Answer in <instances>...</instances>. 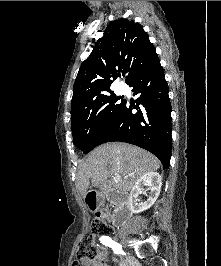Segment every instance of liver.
<instances>
[{
  "label": "liver",
  "mask_w": 221,
  "mask_h": 266,
  "mask_svg": "<svg viewBox=\"0 0 221 266\" xmlns=\"http://www.w3.org/2000/svg\"><path fill=\"white\" fill-rule=\"evenodd\" d=\"M159 167V160L144 149L126 143H107L94 149L80 165L77 188L83 197L90 181L94 187L102 185L105 190L127 193L143 174ZM115 175H120L121 180L112 179Z\"/></svg>",
  "instance_id": "1"
}]
</instances>
